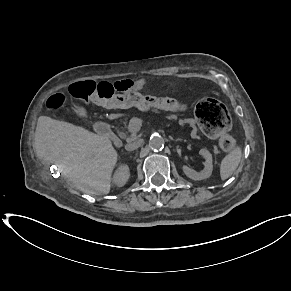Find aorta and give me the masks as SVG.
Here are the masks:
<instances>
[{"instance_id": "aorta-1", "label": "aorta", "mask_w": 291, "mask_h": 291, "mask_svg": "<svg viewBox=\"0 0 291 291\" xmlns=\"http://www.w3.org/2000/svg\"><path fill=\"white\" fill-rule=\"evenodd\" d=\"M164 143L163 137L155 135L150 138L149 147L154 151L162 150L164 148Z\"/></svg>"}]
</instances>
